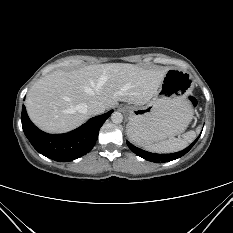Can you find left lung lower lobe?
Returning <instances> with one entry per match:
<instances>
[{"mask_svg": "<svg viewBox=\"0 0 233 233\" xmlns=\"http://www.w3.org/2000/svg\"><path fill=\"white\" fill-rule=\"evenodd\" d=\"M198 138L190 146H188L186 149L179 151V152H176V153H171V154L150 153V152L144 151V150L132 145L130 142H127V145L135 154H137L138 156H140L148 161L168 162V161L175 160V159L180 158L183 155H185L193 147V145L197 142Z\"/></svg>", "mask_w": 233, "mask_h": 233, "instance_id": "1", "label": "left lung lower lobe"}]
</instances>
